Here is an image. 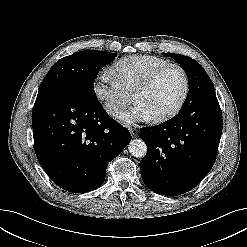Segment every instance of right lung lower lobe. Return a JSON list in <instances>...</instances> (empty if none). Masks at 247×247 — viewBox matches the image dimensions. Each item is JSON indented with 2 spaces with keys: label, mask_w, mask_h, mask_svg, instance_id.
<instances>
[{
  "label": "right lung lower lobe",
  "mask_w": 247,
  "mask_h": 247,
  "mask_svg": "<svg viewBox=\"0 0 247 247\" xmlns=\"http://www.w3.org/2000/svg\"><path fill=\"white\" fill-rule=\"evenodd\" d=\"M32 126L40 165L55 184L75 193L98 188L108 163L131 141L128 129L75 83L40 88Z\"/></svg>",
  "instance_id": "right-lung-lower-lobe-1"
}]
</instances>
